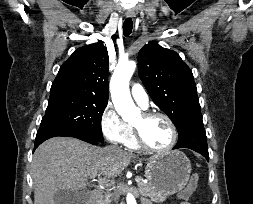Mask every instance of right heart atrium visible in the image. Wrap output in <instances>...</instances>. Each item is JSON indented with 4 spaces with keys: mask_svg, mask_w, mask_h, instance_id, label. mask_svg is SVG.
I'll return each mask as SVG.
<instances>
[{
    "mask_svg": "<svg viewBox=\"0 0 253 204\" xmlns=\"http://www.w3.org/2000/svg\"><path fill=\"white\" fill-rule=\"evenodd\" d=\"M100 128L103 136L111 143L123 144L130 135V125L124 122L112 105L106 106L101 119Z\"/></svg>",
    "mask_w": 253,
    "mask_h": 204,
    "instance_id": "1",
    "label": "right heart atrium"
}]
</instances>
